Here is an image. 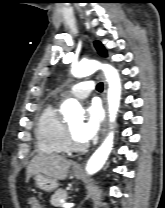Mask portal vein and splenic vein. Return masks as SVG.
Masks as SVG:
<instances>
[{
  "mask_svg": "<svg viewBox=\"0 0 165 208\" xmlns=\"http://www.w3.org/2000/svg\"><path fill=\"white\" fill-rule=\"evenodd\" d=\"M74 206V203H67L62 201V207L63 208H72Z\"/></svg>",
  "mask_w": 165,
  "mask_h": 208,
  "instance_id": "1",
  "label": "portal vein and splenic vein"
}]
</instances>
